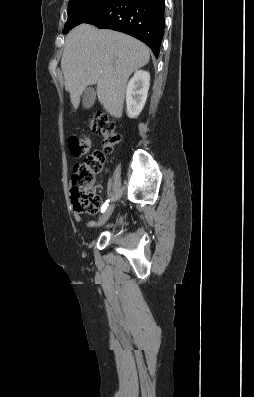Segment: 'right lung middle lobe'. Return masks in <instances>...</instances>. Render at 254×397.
Listing matches in <instances>:
<instances>
[{
	"label": "right lung middle lobe",
	"instance_id": "dd1d6c3e",
	"mask_svg": "<svg viewBox=\"0 0 254 397\" xmlns=\"http://www.w3.org/2000/svg\"><path fill=\"white\" fill-rule=\"evenodd\" d=\"M111 0H70L68 5V20L64 26L67 34L75 26L84 23L102 11Z\"/></svg>",
	"mask_w": 254,
	"mask_h": 397
}]
</instances>
